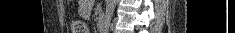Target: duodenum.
Listing matches in <instances>:
<instances>
[{
  "label": "duodenum",
  "instance_id": "410a0bca",
  "mask_svg": "<svg viewBox=\"0 0 235 33\" xmlns=\"http://www.w3.org/2000/svg\"><path fill=\"white\" fill-rule=\"evenodd\" d=\"M98 25H99L100 31L103 32L105 30V20L102 14H100L98 17Z\"/></svg>",
  "mask_w": 235,
  "mask_h": 33
}]
</instances>
